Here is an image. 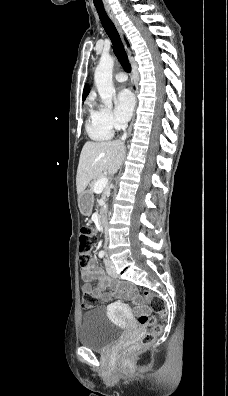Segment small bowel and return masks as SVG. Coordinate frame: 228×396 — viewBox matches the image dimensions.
<instances>
[{
	"mask_svg": "<svg viewBox=\"0 0 228 396\" xmlns=\"http://www.w3.org/2000/svg\"><path fill=\"white\" fill-rule=\"evenodd\" d=\"M81 276L85 282L82 286V292L84 294H91L98 299L108 302L112 299V294L105 292V289L111 288L117 291L116 295L118 297L130 300L133 303V312L136 315H143L147 312V308L142 304L140 297L136 294L131 284H121L109 278L95 261H92L87 267L81 268ZM94 280H97V286L95 288L90 284V282ZM115 305L124 310H128V307L121 302Z\"/></svg>",
	"mask_w": 228,
	"mask_h": 396,
	"instance_id": "obj_1",
	"label": "small bowel"
}]
</instances>
